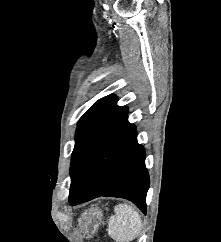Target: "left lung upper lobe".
Wrapping results in <instances>:
<instances>
[{
    "label": "left lung upper lobe",
    "mask_w": 221,
    "mask_h": 242,
    "mask_svg": "<svg viewBox=\"0 0 221 242\" xmlns=\"http://www.w3.org/2000/svg\"><path fill=\"white\" fill-rule=\"evenodd\" d=\"M117 100L114 95L103 97L81 117L71 158V180L90 150L127 116V108L117 106Z\"/></svg>",
    "instance_id": "left-lung-upper-lobe-1"
}]
</instances>
